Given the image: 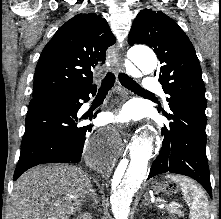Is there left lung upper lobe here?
I'll use <instances>...</instances> for the list:
<instances>
[{
  "label": "left lung upper lobe",
  "mask_w": 221,
  "mask_h": 219,
  "mask_svg": "<svg viewBox=\"0 0 221 219\" xmlns=\"http://www.w3.org/2000/svg\"><path fill=\"white\" fill-rule=\"evenodd\" d=\"M128 42L146 44L157 54L160 68L154 75L169 95V106L181 104L205 113L200 63L193 45L176 22L161 11L145 9L134 20Z\"/></svg>",
  "instance_id": "5c2ea615"
}]
</instances>
